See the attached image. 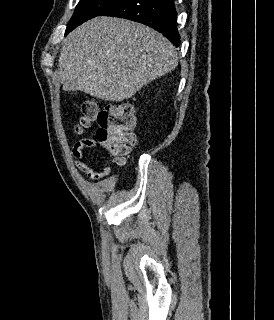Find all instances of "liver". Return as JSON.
<instances>
[{"mask_svg": "<svg viewBox=\"0 0 274 320\" xmlns=\"http://www.w3.org/2000/svg\"><path fill=\"white\" fill-rule=\"evenodd\" d=\"M176 50L162 34L142 24L93 18L65 38L57 74L66 92L80 90L122 102L175 70Z\"/></svg>", "mask_w": 274, "mask_h": 320, "instance_id": "1", "label": "liver"}]
</instances>
